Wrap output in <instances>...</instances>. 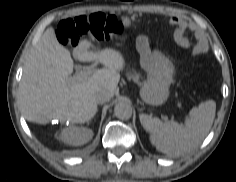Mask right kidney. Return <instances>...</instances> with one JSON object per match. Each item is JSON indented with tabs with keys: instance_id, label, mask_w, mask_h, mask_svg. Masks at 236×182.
I'll return each instance as SVG.
<instances>
[{
	"instance_id": "1",
	"label": "right kidney",
	"mask_w": 236,
	"mask_h": 182,
	"mask_svg": "<svg viewBox=\"0 0 236 182\" xmlns=\"http://www.w3.org/2000/svg\"><path fill=\"white\" fill-rule=\"evenodd\" d=\"M92 137V130L85 127L77 126L65 128L60 135V139L64 143L72 146H80L86 144L92 139Z\"/></svg>"
}]
</instances>
